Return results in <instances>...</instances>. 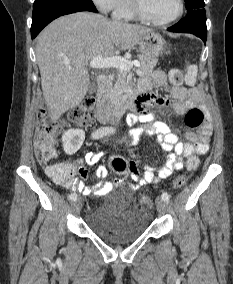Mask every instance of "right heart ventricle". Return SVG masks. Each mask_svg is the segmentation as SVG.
<instances>
[{
  "instance_id": "right-heart-ventricle-1",
  "label": "right heart ventricle",
  "mask_w": 233,
  "mask_h": 284,
  "mask_svg": "<svg viewBox=\"0 0 233 284\" xmlns=\"http://www.w3.org/2000/svg\"><path fill=\"white\" fill-rule=\"evenodd\" d=\"M113 16L120 20H135L137 16L134 14L131 6V0H119L113 10Z\"/></svg>"
}]
</instances>
